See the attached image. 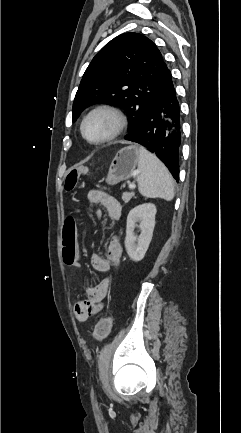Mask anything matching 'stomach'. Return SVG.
<instances>
[{
  "instance_id": "obj_1",
  "label": "stomach",
  "mask_w": 241,
  "mask_h": 433,
  "mask_svg": "<svg viewBox=\"0 0 241 433\" xmlns=\"http://www.w3.org/2000/svg\"><path fill=\"white\" fill-rule=\"evenodd\" d=\"M139 162V150L135 145L122 148L112 160L106 183L116 185L121 181L127 180L133 176L136 166Z\"/></svg>"
}]
</instances>
